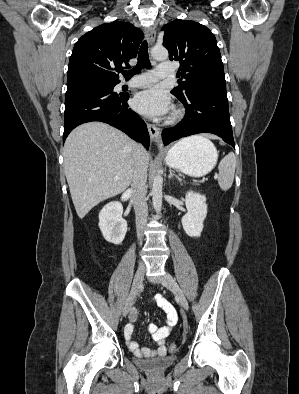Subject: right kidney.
Returning <instances> with one entry per match:
<instances>
[{
	"label": "right kidney",
	"instance_id": "ca27d5eb",
	"mask_svg": "<svg viewBox=\"0 0 299 394\" xmlns=\"http://www.w3.org/2000/svg\"><path fill=\"white\" fill-rule=\"evenodd\" d=\"M122 214L123 206L118 201L109 202L99 213V228L109 243L119 245L125 238L127 222Z\"/></svg>",
	"mask_w": 299,
	"mask_h": 394
}]
</instances>
